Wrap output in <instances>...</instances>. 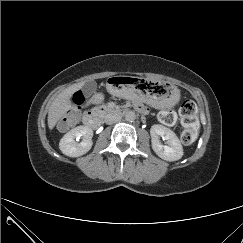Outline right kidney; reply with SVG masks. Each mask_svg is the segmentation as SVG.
<instances>
[{
  "label": "right kidney",
  "mask_w": 243,
  "mask_h": 243,
  "mask_svg": "<svg viewBox=\"0 0 243 243\" xmlns=\"http://www.w3.org/2000/svg\"><path fill=\"white\" fill-rule=\"evenodd\" d=\"M92 136L93 131L91 128L86 126L75 127L62 137L59 143V148L66 156H82L91 149L93 144ZM80 137H82L81 142H79Z\"/></svg>",
  "instance_id": "right-kidney-1"
}]
</instances>
